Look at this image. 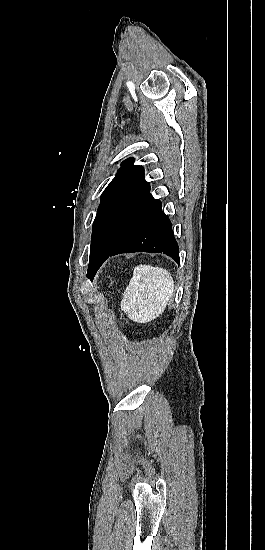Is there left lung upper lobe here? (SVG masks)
<instances>
[{"label": "left lung upper lobe", "mask_w": 265, "mask_h": 550, "mask_svg": "<svg viewBox=\"0 0 265 550\" xmlns=\"http://www.w3.org/2000/svg\"><path fill=\"white\" fill-rule=\"evenodd\" d=\"M134 158L121 163L115 178L102 193L92 227L90 252L110 251L160 201L150 194L144 168Z\"/></svg>", "instance_id": "1"}]
</instances>
